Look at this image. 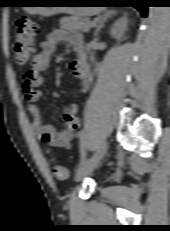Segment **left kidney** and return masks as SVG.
Instances as JSON below:
<instances>
[{
  "label": "left kidney",
  "instance_id": "5707ae66",
  "mask_svg": "<svg viewBox=\"0 0 170 231\" xmlns=\"http://www.w3.org/2000/svg\"><path fill=\"white\" fill-rule=\"evenodd\" d=\"M127 24H128V20L127 17H122L120 19H118L112 29H111V35L117 39L118 41L121 40V38L123 37L126 29H127Z\"/></svg>",
  "mask_w": 170,
  "mask_h": 231
}]
</instances>
